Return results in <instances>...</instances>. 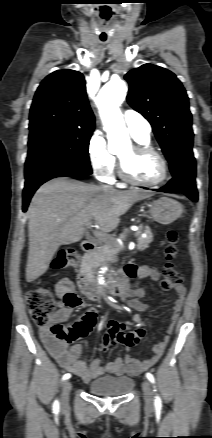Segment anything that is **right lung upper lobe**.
<instances>
[{
  "label": "right lung upper lobe",
  "mask_w": 212,
  "mask_h": 438,
  "mask_svg": "<svg viewBox=\"0 0 212 438\" xmlns=\"http://www.w3.org/2000/svg\"><path fill=\"white\" fill-rule=\"evenodd\" d=\"M29 119L30 131L43 127L93 130L95 119L84 76L69 69L48 75L35 93Z\"/></svg>",
  "instance_id": "right-lung-upper-lobe-1"
}]
</instances>
